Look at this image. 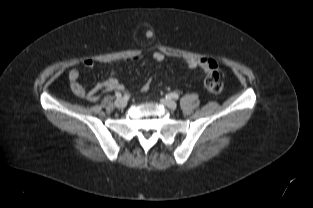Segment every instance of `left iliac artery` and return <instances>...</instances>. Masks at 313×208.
<instances>
[{"label": "left iliac artery", "instance_id": "44dca946", "mask_svg": "<svg viewBox=\"0 0 313 208\" xmlns=\"http://www.w3.org/2000/svg\"><path fill=\"white\" fill-rule=\"evenodd\" d=\"M170 97L177 100L179 98V95L177 93H171Z\"/></svg>", "mask_w": 313, "mask_h": 208}]
</instances>
